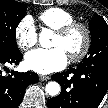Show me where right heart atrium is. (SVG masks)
Returning a JSON list of instances; mask_svg holds the SVG:
<instances>
[{
    "mask_svg": "<svg viewBox=\"0 0 108 108\" xmlns=\"http://www.w3.org/2000/svg\"><path fill=\"white\" fill-rule=\"evenodd\" d=\"M14 35L20 49L28 50L34 47L38 41V34L32 18L29 16L22 18L16 25Z\"/></svg>",
    "mask_w": 108,
    "mask_h": 108,
    "instance_id": "right-heart-atrium-1",
    "label": "right heart atrium"
}]
</instances>
